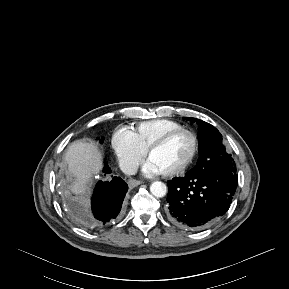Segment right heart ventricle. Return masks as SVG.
I'll list each match as a JSON object with an SVG mask.
<instances>
[{
  "mask_svg": "<svg viewBox=\"0 0 289 289\" xmlns=\"http://www.w3.org/2000/svg\"><path fill=\"white\" fill-rule=\"evenodd\" d=\"M184 128L180 123L169 119H154L137 124L133 134L140 148L146 152L159 138L176 129Z\"/></svg>",
  "mask_w": 289,
  "mask_h": 289,
  "instance_id": "e07e8e85",
  "label": "right heart ventricle"
}]
</instances>
